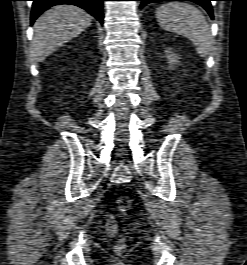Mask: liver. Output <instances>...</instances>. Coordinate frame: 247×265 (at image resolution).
Masks as SVG:
<instances>
[{"instance_id": "obj_1", "label": "liver", "mask_w": 247, "mask_h": 265, "mask_svg": "<svg viewBox=\"0 0 247 265\" xmlns=\"http://www.w3.org/2000/svg\"><path fill=\"white\" fill-rule=\"evenodd\" d=\"M92 17L73 5H57L44 12L34 24L32 58L41 62L90 26Z\"/></svg>"}]
</instances>
